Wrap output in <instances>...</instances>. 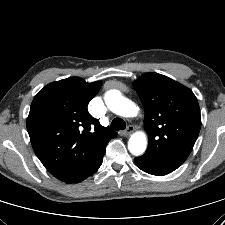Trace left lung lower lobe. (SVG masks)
Masks as SVG:
<instances>
[{
  "instance_id": "left-lung-lower-lobe-1",
  "label": "left lung lower lobe",
  "mask_w": 225,
  "mask_h": 225,
  "mask_svg": "<svg viewBox=\"0 0 225 225\" xmlns=\"http://www.w3.org/2000/svg\"><path fill=\"white\" fill-rule=\"evenodd\" d=\"M135 163L144 172L159 176L167 175L179 167L146 152L136 157Z\"/></svg>"
}]
</instances>
